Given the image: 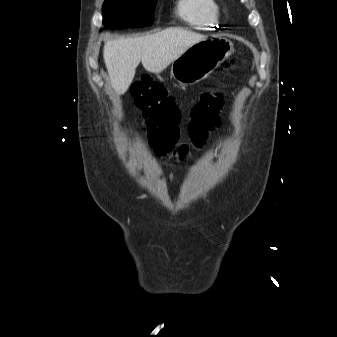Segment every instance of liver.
Instances as JSON below:
<instances>
[{"mask_svg": "<svg viewBox=\"0 0 337 337\" xmlns=\"http://www.w3.org/2000/svg\"><path fill=\"white\" fill-rule=\"evenodd\" d=\"M204 39L183 28H168L152 35L108 41L103 57L113 89L118 95L124 94L140 62L147 71L160 73Z\"/></svg>", "mask_w": 337, "mask_h": 337, "instance_id": "1", "label": "liver"}]
</instances>
